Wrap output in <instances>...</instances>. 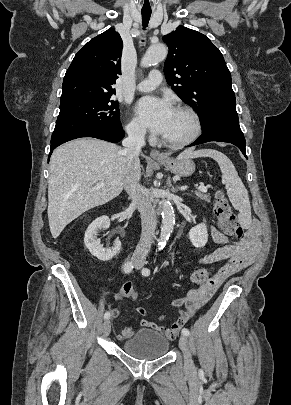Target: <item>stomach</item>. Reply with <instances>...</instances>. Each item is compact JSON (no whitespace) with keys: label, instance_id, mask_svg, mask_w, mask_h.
Here are the masks:
<instances>
[{"label":"stomach","instance_id":"stomach-1","mask_svg":"<svg viewBox=\"0 0 291 405\" xmlns=\"http://www.w3.org/2000/svg\"><path fill=\"white\" fill-rule=\"evenodd\" d=\"M158 162L170 172L183 177L192 175L195 170V164L188 158H165Z\"/></svg>","mask_w":291,"mask_h":405}]
</instances>
